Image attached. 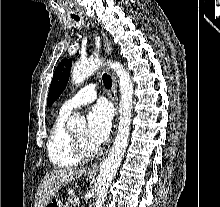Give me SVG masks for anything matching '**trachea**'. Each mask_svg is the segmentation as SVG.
<instances>
[{
    "label": "trachea",
    "instance_id": "obj_1",
    "mask_svg": "<svg viewBox=\"0 0 220 207\" xmlns=\"http://www.w3.org/2000/svg\"><path fill=\"white\" fill-rule=\"evenodd\" d=\"M75 21H79V17H74ZM102 80H103V83H104V86L107 88V89H111V86H112V79L111 77L107 74V73H104L102 75Z\"/></svg>",
    "mask_w": 220,
    "mask_h": 207
}]
</instances>
